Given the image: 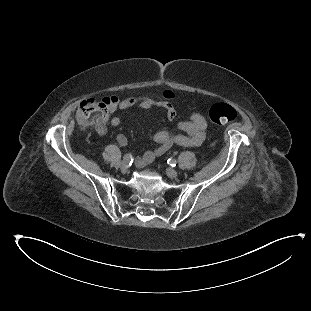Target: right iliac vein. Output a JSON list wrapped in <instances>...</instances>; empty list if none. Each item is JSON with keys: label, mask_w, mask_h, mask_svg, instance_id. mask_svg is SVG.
<instances>
[{"label": "right iliac vein", "mask_w": 311, "mask_h": 311, "mask_svg": "<svg viewBox=\"0 0 311 311\" xmlns=\"http://www.w3.org/2000/svg\"><path fill=\"white\" fill-rule=\"evenodd\" d=\"M120 168H121V170H122L123 172H127L129 166H128V164H127L126 161H123V162H121V164H120Z\"/></svg>", "instance_id": "63e3f726"}]
</instances>
